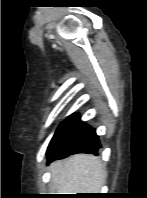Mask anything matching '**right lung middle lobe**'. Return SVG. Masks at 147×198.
Returning <instances> with one entry per match:
<instances>
[{
	"label": "right lung middle lobe",
	"instance_id": "right-lung-middle-lobe-1",
	"mask_svg": "<svg viewBox=\"0 0 147 198\" xmlns=\"http://www.w3.org/2000/svg\"><path fill=\"white\" fill-rule=\"evenodd\" d=\"M64 122H65V120L59 125V127H60ZM59 127H58V128H59Z\"/></svg>",
	"mask_w": 147,
	"mask_h": 198
}]
</instances>
